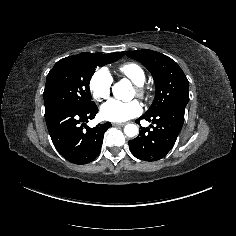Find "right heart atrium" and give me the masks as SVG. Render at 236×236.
Here are the masks:
<instances>
[{
	"mask_svg": "<svg viewBox=\"0 0 236 236\" xmlns=\"http://www.w3.org/2000/svg\"><path fill=\"white\" fill-rule=\"evenodd\" d=\"M112 82V77L106 70H97L89 82V89L93 100L104 102L109 99Z\"/></svg>",
	"mask_w": 236,
	"mask_h": 236,
	"instance_id": "d8ad5b80",
	"label": "right heart atrium"
}]
</instances>
